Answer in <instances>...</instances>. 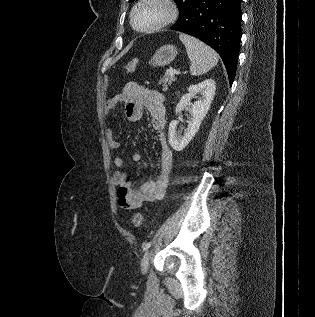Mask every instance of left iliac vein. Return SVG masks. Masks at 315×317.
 <instances>
[{
	"label": "left iliac vein",
	"instance_id": "1",
	"mask_svg": "<svg viewBox=\"0 0 315 317\" xmlns=\"http://www.w3.org/2000/svg\"><path fill=\"white\" fill-rule=\"evenodd\" d=\"M150 257H151V251H146L145 254L143 255L142 259H141L140 266H141L142 274H145L147 272V270H148Z\"/></svg>",
	"mask_w": 315,
	"mask_h": 317
}]
</instances>
